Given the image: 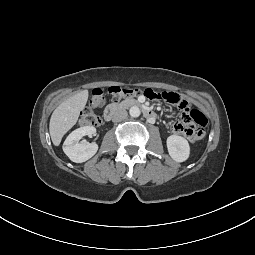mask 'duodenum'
Segmentation results:
<instances>
[{"mask_svg":"<svg viewBox=\"0 0 255 255\" xmlns=\"http://www.w3.org/2000/svg\"><path fill=\"white\" fill-rule=\"evenodd\" d=\"M126 107H139L142 109V112L147 119H155V112L149 107L145 106L141 101L136 99H128L122 103H112L108 105L104 110L103 117L106 121H110L118 111Z\"/></svg>","mask_w":255,"mask_h":255,"instance_id":"duodenum-1","label":"duodenum"}]
</instances>
